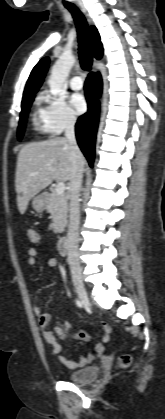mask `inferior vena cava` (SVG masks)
Returning <instances> with one entry per match:
<instances>
[{"instance_id":"1","label":"inferior vena cava","mask_w":165,"mask_h":419,"mask_svg":"<svg viewBox=\"0 0 165 419\" xmlns=\"http://www.w3.org/2000/svg\"><path fill=\"white\" fill-rule=\"evenodd\" d=\"M75 123L76 118L69 116L66 121L65 137L68 141L71 150L72 173L69 185V226L67 234V251L68 263L70 265L73 277L81 276V268L79 263V221H80V206L79 193L82 186V178L84 166L82 163V153L77 145L75 138Z\"/></svg>"}]
</instances>
